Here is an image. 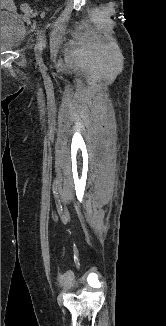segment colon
Here are the masks:
<instances>
[{
	"instance_id": "1",
	"label": "colon",
	"mask_w": 166,
	"mask_h": 326,
	"mask_svg": "<svg viewBox=\"0 0 166 326\" xmlns=\"http://www.w3.org/2000/svg\"><path fill=\"white\" fill-rule=\"evenodd\" d=\"M21 10H22L24 16L27 18H30L34 14L33 9L28 4H25V3L21 5Z\"/></svg>"
}]
</instances>
